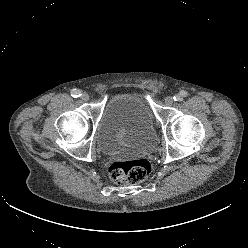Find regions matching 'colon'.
I'll return each instance as SVG.
<instances>
[{
  "label": "colon",
  "mask_w": 248,
  "mask_h": 248,
  "mask_svg": "<svg viewBox=\"0 0 248 248\" xmlns=\"http://www.w3.org/2000/svg\"><path fill=\"white\" fill-rule=\"evenodd\" d=\"M148 160L140 158L129 161L114 162L109 168L111 180L118 185L137 184L150 174Z\"/></svg>",
  "instance_id": "5ec220e1"
}]
</instances>
